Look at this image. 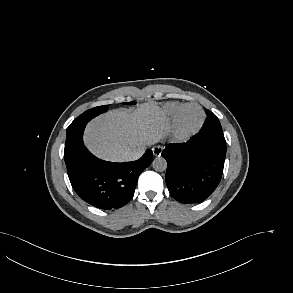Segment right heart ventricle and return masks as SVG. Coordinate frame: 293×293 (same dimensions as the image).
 Instances as JSON below:
<instances>
[{
  "mask_svg": "<svg viewBox=\"0 0 293 293\" xmlns=\"http://www.w3.org/2000/svg\"><path fill=\"white\" fill-rule=\"evenodd\" d=\"M181 104L179 103H168L164 107V112L166 115L173 117Z\"/></svg>",
  "mask_w": 293,
  "mask_h": 293,
  "instance_id": "obj_1",
  "label": "right heart ventricle"
}]
</instances>
